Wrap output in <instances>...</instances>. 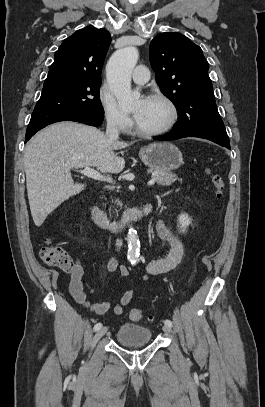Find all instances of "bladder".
Listing matches in <instances>:
<instances>
[{
    "instance_id": "obj_1",
    "label": "bladder",
    "mask_w": 265,
    "mask_h": 407,
    "mask_svg": "<svg viewBox=\"0 0 265 407\" xmlns=\"http://www.w3.org/2000/svg\"><path fill=\"white\" fill-rule=\"evenodd\" d=\"M152 332L149 328L134 323L122 325L116 332V341L121 345L137 346L151 340Z\"/></svg>"
}]
</instances>
